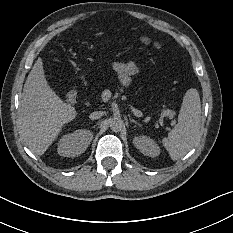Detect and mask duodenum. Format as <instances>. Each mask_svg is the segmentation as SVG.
<instances>
[{
  "label": "duodenum",
  "instance_id": "410a0bca",
  "mask_svg": "<svg viewBox=\"0 0 233 233\" xmlns=\"http://www.w3.org/2000/svg\"><path fill=\"white\" fill-rule=\"evenodd\" d=\"M79 95H80V91L77 89H73L69 91L66 96L67 102L70 104H74L77 101Z\"/></svg>",
  "mask_w": 233,
  "mask_h": 233
}]
</instances>
